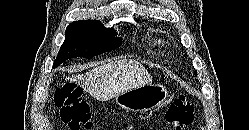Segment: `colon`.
<instances>
[{
    "instance_id": "colon-1",
    "label": "colon",
    "mask_w": 249,
    "mask_h": 130,
    "mask_svg": "<svg viewBox=\"0 0 249 130\" xmlns=\"http://www.w3.org/2000/svg\"><path fill=\"white\" fill-rule=\"evenodd\" d=\"M55 105L60 110L62 121L71 130H91L93 120L88 103L83 99V90L76 84L65 83L55 88L53 93ZM194 105L184 96H178L169 106L165 122L168 128L182 130L192 123Z\"/></svg>"
}]
</instances>
